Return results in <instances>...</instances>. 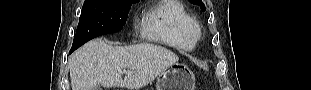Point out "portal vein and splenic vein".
Returning a JSON list of instances; mask_svg holds the SVG:
<instances>
[{"instance_id": "obj_1", "label": "portal vein and splenic vein", "mask_w": 311, "mask_h": 90, "mask_svg": "<svg viewBox=\"0 0 311 90\" xmlns=\"http://www.w3.org/2000/svg\"><path fill=\"white\" fill-rule=\"evenodd\" d=\"M122 72H123V73H126V74H127V73H129V71H128V70H123Z\"/></svg>"}]
</instances>
